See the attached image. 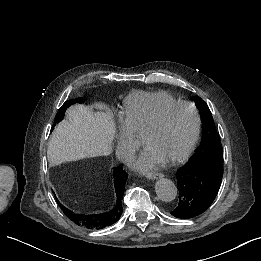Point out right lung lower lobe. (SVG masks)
Segmentation results:
<instances>
[{
  "mask_svg": "<svg viewBox=\"0 0 261 261\" xmlns=\"http://www.w3.org/2000/svg\"><path fill=\"white\" fill-rule=\"evenodd\" d=\"M114 186L117 195V203L116 206L109 212L103 214H95V215H85L75 213L65 206L60 204V208L63 210L64 214L75 224L85 227L87 229H96L100 230L105 227H108L114 223H116L122 214V198L125 190V183L128 178L127 173L123 171L121 167H116L114 169Z\"/></svg>",
  "mask_w": 261,
  "mask_h": 261,
  "instance_id": "98d812e1",
  "label": "right lung lower lobe"
}]
</instances>
